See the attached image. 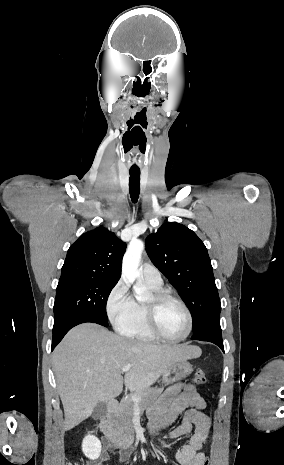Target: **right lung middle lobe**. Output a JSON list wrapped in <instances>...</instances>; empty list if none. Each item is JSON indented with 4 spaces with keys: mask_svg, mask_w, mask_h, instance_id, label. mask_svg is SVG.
<instances>
[{
    "mask_svg": "<svg viewBox=\"0 0 284 465\" xmlns=\"http://www.w3.org/2000/svg\"><path fill=\"white\" fill-rule=\"evenodd\" d=\"M117 282L89 277L60 278L54 303V325L87 315L108 322L106 303Z\"/></svg>",
    "mask_w": 284,
    "mask_h": 465,
    "instance_id": "right-lung-middle-lobe-1",
    "label": "right lung middle lobe"
}]
</instances>
